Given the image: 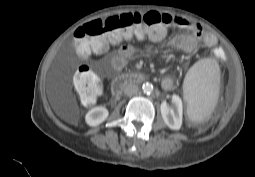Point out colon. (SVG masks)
<instances>
[{
	"label": "colon",
	"instance_id": "colon-1",
	"mask_svg": "<svg viewBox=\"0 0 255 177\" xmlns=\"http://www.w3.org/2000/svg\"><path fill=\"white\" fill-rule=\"evenodd\" d=\"M167 27L163 14L156 11L126 13L94 20L78 28L74 33V50L80 57L92 51L103 52L109 46L123 40L140 38L144 35L160 38ZM74 87L82 103L96 102L101 91V80L89 66H81L74 76Z\"/></svg>",
	"mask_w": 255,
	"mask_h": 177
}]
</instances>
